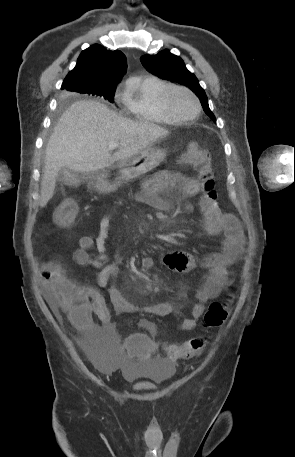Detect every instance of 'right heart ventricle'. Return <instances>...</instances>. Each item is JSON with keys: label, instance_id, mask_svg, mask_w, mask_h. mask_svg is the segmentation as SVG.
Listing matches in <instances>:
<instances>
[{"label": "right heart ventricle", "instance_id": "obj_1", "mask_svg": "<svg viewBox=\"0 0 295 457\" xmlns=\"http://www.w3.org/2000/svg\"><path fill=\"white\" fill-rule=\"evenodd\" d=\"M170 84L155 76L134 80L129 83L123 95L127 112L136 120L146 123L173 124L172 119L163 109L160 96Z\"/></svg>", "mask_w": 295, "mask_h": 457}]
</instances>
